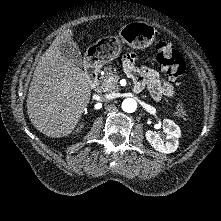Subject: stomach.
I'll return each mask as SVG.
<instances>
[{
	"label": "stomach",
	"mask_w": 221,
	"mask_h": 221,
	"mask_svg": "<svg viewBox=\"0 0 221 221\" xmlns=\"http://www.w3.org/2000/svg\"><path fill=\"white\" fill-rule=\"evenodd\" d=\"M121 36L133 47L144 48L153 42L155 28L145 22H136L133 25L125 26L121 31ZM120 52L121 43L118 39L104 37L88 47L86 56L94 59L97 64H106L117 58Z\"/></svg>",
	"instance_id": "obj_1"
}]
</instances>
